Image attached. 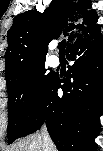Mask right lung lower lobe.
<instances>
[{"instance_id":"98d812e1","label":"right lung lower lobe","mask_w":103,"mask_h":151,"mask_svg":"<svg viewBox=\"0 0 103 151\" xmlns=\"http://www.w3.org/2000/svg\"><path fill=\"white\" fill-rule=\"evenodd\" d=\"M66 78L55 75L42 104L21 137L46 125L59 151H91L103 107V39L100 26L68 45ZM61 82L64 83L61 85ZM61 88L63 95L57 91Z\"/></svg>"}]
</instances>
